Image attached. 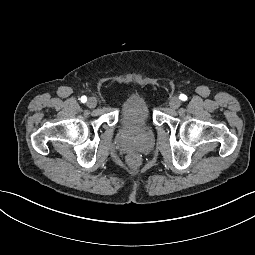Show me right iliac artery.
Segmentation results:
<instances>
[{
	"instance_id": "right-iliac-artery-1",
	"label": "right iliac artery",
	"mask_w": 255,
	"mask_h": 255,
	"mask_svg": "<svg viewBox=\"0 0 255 255\" xmlns=\"http://www.w3.org/2000/svg\"><path fill=\"white\" fill-rule=\"evenodd\" d=\"M87 101V97L86 96H82L81 97V102L85 103Z\"/></svg>"
}]
</instances>
